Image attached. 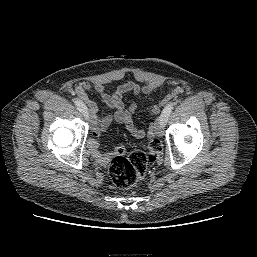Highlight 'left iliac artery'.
<instances>
[{
    "mask_svg": "<svg viewBox=\"0 0 257 257\" xmlns=\"http://www.w3.org/2000/svg\"><path fill=\"white\" fill-rule=\"evenodd\" d=\"M173 108H174V104H173V103H169V104L163 109L160 118H161L163 121L167 122V119H168L169 115L171 114Z\"/></svg>",
    "mask_w": 257,
    "mask_h": 257,
    "instance_id": "1",
    "label": "left iliac artery"
}]
</instances>
